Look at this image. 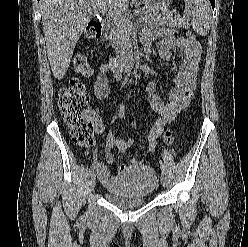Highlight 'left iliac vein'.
I'll return each instance as SVG.
<instances>
[{"label": "left iliac vein", "instance_id": "left-iliac-vein-1", "mask_svg": "<svg viewBox=\"0 0 248 247\" xmlns=\"http://www.w3.org/2000/svg\"><path fill=\"white\" fill-rule=\"evenodd\" d=\"M160 179H161V183L164 187H166L168 185V175L166 172H162L161 173V176H160Z\"/></svg>", "mask_w": 248, "mask_h": 247}]
</instances>
